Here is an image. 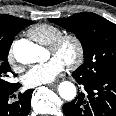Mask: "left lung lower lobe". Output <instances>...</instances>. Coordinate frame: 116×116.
<instances>
[{"label": "left lung lower lobe", "instance_id": "0a47b994", "mask_svg": "<svg viewBox=\"0 0 116 116\" xmlns=\"http://www.w3.org/2000/svg\"><path fill=\"white\" fill-rule=\"evenodd\" d=\"M72 76L83 90L71 102L63 105L66 116H116V73L97 78Z\"/></svg>", "mask_w": 116, "mask_h": 116}]
</instances>
